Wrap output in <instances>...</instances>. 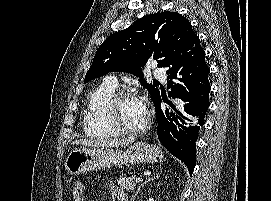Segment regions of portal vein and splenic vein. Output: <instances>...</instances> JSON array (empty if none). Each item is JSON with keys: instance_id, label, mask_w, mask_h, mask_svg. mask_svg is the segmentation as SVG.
Wrapping results in <instances>:
<instances>
[{"instance_id": "1", "label": "portal vein and splenic vein", "mask_w": 271, "mask_h": 201, "mask_svg": "<svg viewBox=\"0 0 271 201\" xmlns=\"http://www.w3.org/2000/svg\"><path fill=\"white\" fill-rule=\"evenodd\" d=\"M137 183H140V182H142L143 181V179L142 178H136V180H135Z\"/></svg>"}]
</instances>
